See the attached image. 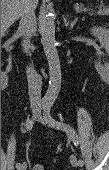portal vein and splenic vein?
<instances>
[{
    "label": "portal vein and splenic vein",
    "mask_w": 109,
    "mask_h": 170,
    "mask_svg": "<svg viewBox=\"0 0 109 170\" xmlns=\"http://www.w3.org/2000/svg\"><path fill=\"white\" fill-rule=\"evenodd\" d=\"M75 10H76L77 13L82 11L79 7H77Z\"/></svg>",
    "instance_id": "1"
}]
</instances>
